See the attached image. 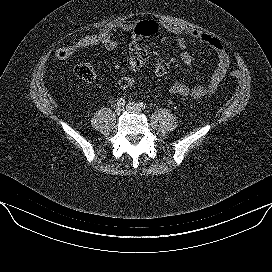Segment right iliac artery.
Here are the masks:
<instances>
[{"mask_svg":"<svg viewBox=\"0 0 272 272\" xmlns=\"http://www.w3.org/2000/svg\"><path fill=\"white\" fill-rule=\"evenodd\" d=\"M117 105L120 106V107L121 106L123 107L125 105V99H123V98L118 99Z\"/></svg>","mask_w":272,"mask_h":272,"instance_id":"right-iliac-artery-1","label":"right iliac artery"}]
</instances>
